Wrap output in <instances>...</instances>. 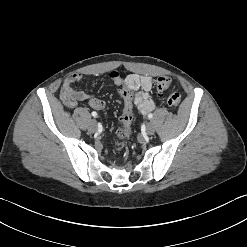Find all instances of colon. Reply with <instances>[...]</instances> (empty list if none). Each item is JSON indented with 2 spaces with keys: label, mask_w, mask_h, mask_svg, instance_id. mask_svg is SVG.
<instances>
[{
  "label": "colon",
  "mask_w": 247,
  "mask_h": 247,
  "mask_svg": "<svg viewBox=\"0 0 247 247\" xmlns=\"http://www.w3.org/2000/svg\"><path fill=\"white\" fill-rule=\"evenodd\" d=\"M108 80L112 87L118 89L119 99L122 103V115L121 122L122 127L118 130V136L126 140L132 133V119H133V94L131 86L124 81V78L116 72H112L108 76ZM171 84L168 77H159L156 81V87L158 91L166 90ZM167 103L170 107L176 108L181 103V95L177 92H173L167 96Z\"/></svg>",
  "instance_id": "1"
}]
</instances>
